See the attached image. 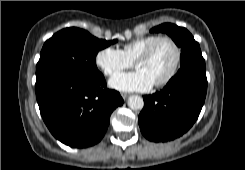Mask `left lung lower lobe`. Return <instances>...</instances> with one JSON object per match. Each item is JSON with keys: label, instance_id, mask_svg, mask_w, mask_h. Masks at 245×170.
<instances>
[{"label": "left lung lower lobe", "instance_id": "left-lung-lower-lobe-1", "mask_svg": "<svg viewBox=\"0 0 245 170\" xmlns=\"http://www.w3.org/2000/svg\"><path fill=\"white\" fill-rule=\"evenodd\" d=\"M207 91L206 72L179 70L160 92L144 96L138 116L142 134L166 142L182 136L197 120Z\"/></svg>", "mask_w": 245, "mask_h": 170}]
</instances>
